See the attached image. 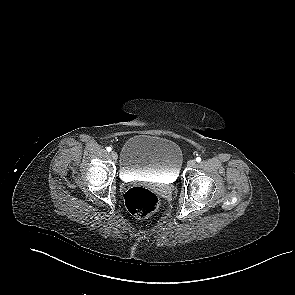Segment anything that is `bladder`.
<instances>
[{
  "label": "bladder",
  "instance_id": "1",
  "mask_svg": "<svg viewBox=\"0 0 295 295\" xmlns=\"http://www.w3.org/2000/svg\"><path fill=\"white\" fill-rule=\"evenodd\" d=\"M182 162L183 154L177 143L153 135L130 137L120 152V172L125 178L148 176L173 182Z\"/></svg>",
  "mask_w": 295,
  "mask_h": 295
}]
</instances>
